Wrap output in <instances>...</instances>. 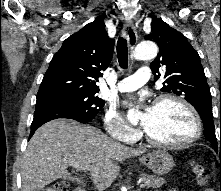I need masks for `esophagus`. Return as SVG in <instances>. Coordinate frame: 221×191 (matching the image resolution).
<instances>
[{
	"label": "esophagus",
	"instance_id": "esophagus-1",
	"mask_svg": "<svg viewBox=\"0 0 221 191\" xmlns=\"http://www.w3.org/2000/svg\"><path fill=\"white\" fill-rule=\"evenodd\" d=\"M123 35L132 47L137 43V31L131 20H127L123 26Z\"/></svg>",
	"mask_w": 221,
	"mask_h": 191
}]
</instances>
